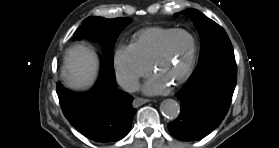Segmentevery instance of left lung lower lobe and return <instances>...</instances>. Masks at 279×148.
I'll return each mask as SVG.
<instances>
[{
    "instance_id": "left-lung-lower-lobe-1",
    "label": "left lung lower lobe",
    "mask_w": 279,
    "mask_h": 148,
    "mask_svg": "<svg viewBox=\"0 0 279 148\" xmlns=\"http://www.w3.org/2000/svg\"><path fill=\"white\" fill-rule=\"evenodd\" d=\"M237 82L234 54L214 57L198 66L194 76L176 94L181 103L169 132L183 141L200 140L212 132L228 112Z\"/></svg>"
}]
</instances>
